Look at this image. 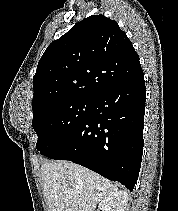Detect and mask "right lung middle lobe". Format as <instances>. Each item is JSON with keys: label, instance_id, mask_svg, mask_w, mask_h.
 Here are the masks:
<instances>
[{"label": "right lung middle lobe", "instance_id": "right-lung-middle-lobe-1", "mask_svg": "<svg viewBox=\"0 0 178 211\" xmlns=\"http://www.w3.org/2000/svg\"><path fill=\"white\" fill-rule=\"evenodd\" d=\"M93 99H69L52 103L34 114L37 150L46 155L76 131L88 118Z\"/></svg>", "mask_w": 178, "mask_h": 211}]
</instances>
